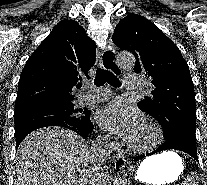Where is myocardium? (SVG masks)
<instances>
[{
    "mask_svg": "<svg viewBox=\"0 0 207 185\" xmlns=\"http://www.w3.org/2000/svg\"><path fill=\"white\" fill-rule=\"evenodd\" d=\"M145 125L147 127H149L151 130H153V132L155 133V135L158 138H161L164 136V132L158 123H156L154 121H146ZM127 147L130 151H132L136 154H142L144 152V148H140V147L136 146L131 140L127 141Z\"/></svg>",
    "mask_w": 207,
    "mask_h": 185,
    "instance_id": "myocardium-1",
    "label": "myocardium"
}]
</instances>
